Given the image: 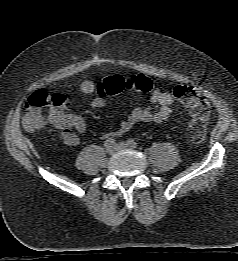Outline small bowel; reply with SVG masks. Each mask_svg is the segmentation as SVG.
I'll return each instance as SVG.
<instances>
[{
  "label": "small bowel",
  "mask_w": 238,
  "mask_h": 261,
  "mask_svg": "<svg viewBox=\"0 0 238 261\" xmlns=\"http://www.w3.org/2000/svg\"><path fill=\"white\" fill-rule=\"evenodd\" d=\"M80 91L86 96L97 93L91 101L93 108L99 109L106 106L107 96L98 93L97 85L93 81H83L80 85ZM173 102L174 99L170 92L152 86L149 105L145 108H133L129 115L120 122L119 129L112 133V135L120 136L139 122L161 123L166 121L172 114ZM48 122L58 130L61 140L68 146L77 145L79 143L78 135L86 130V122L83 117L66 114L58 109L50 111Z\"/></svg>",
  "instance_id": "obj_1"
}]
</instances>
